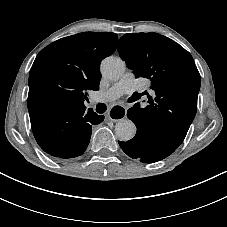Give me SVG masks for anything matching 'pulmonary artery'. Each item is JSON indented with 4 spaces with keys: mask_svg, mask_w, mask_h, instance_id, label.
<instances>
[{
    "mask_svg": "<svg viewBox=\"0 0 227 227\" xmlns=\"http://www.w3.org/2000/svg\"><path fill=\"white\" fill-rule=\"evenodd\" d=\"M137 86V80L131 72H127L119 81L106 91H98L92 97V102H110L124 94L132 92ZM152 96L155 92L151 91Z\"/></svg>",
    "mask_w": 227,
    "mask_h": 227,
    "instance_id": "pulmonary-artery-1",
    "label": "pulmonary artery"
}]
</instances>
